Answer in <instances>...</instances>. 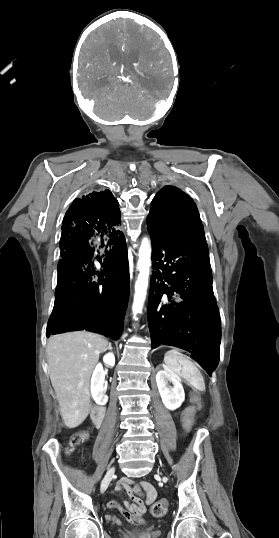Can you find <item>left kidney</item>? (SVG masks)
<instances>
[{"instance_id":"left-kidney-1","label":"left kidney","mask_w":279,"mask_h":538,"mask_svg":"<svg viewBox=\"0 0 279 538\" xmlns=\"http://www.w3.org/2000/svg\"><path fill=\"white\" fill-rule=\"evenodd\" d=\"M168 382H172L173 386L168 388ZM181 380L175 372L169 370V368H164V370H159L156 376V384L159 390V394L162 398V402L168 410H176L180 408L182 402L185 400V394Z\"/></svg>"}]
</instances>
